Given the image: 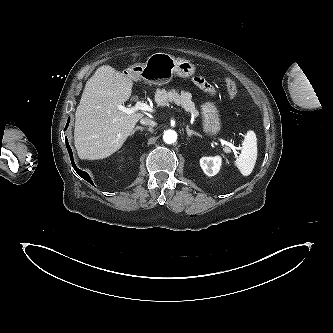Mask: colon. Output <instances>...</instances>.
I'll return each instance as SVG.
<instances>
[{
	"mask_svg": "<svg viewBox=\"0 0 333 333\" xmlns=\"http://www.w3.org/2000/svg\"><path fill=\"white\" fill-rule=\"evenodd\" d=\"M225 87L231 98H235L237 96V87L232 79L230 78L225 79Z\"/></svg>",
	"mask_w": 333,
	"mask_h": 333,
	"instance_id": "5ec220e1",
	"label": "colon"
}]
</instances>
